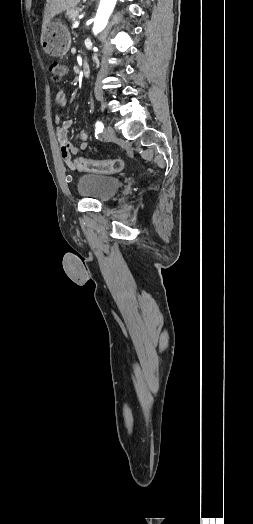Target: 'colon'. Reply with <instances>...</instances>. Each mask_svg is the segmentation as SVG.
<instances>
[{
    "label": "colon",
    "mask_w": 253,
    "mask_h": 524,
    "mask_svg": "<svg viewBox=\"0 0 253 524\" xmlns=\"http://www.w3.org/2000/svg\"><path fill=\"white\" fill-rule=\"evenodd\" d=\"M49 72L53 81H60L67 72L65 65L54 61L49 64ZM76 166L81 171L96 172L102 174L119 173L124 168V161L114 158L107 161H95L91 159L79 158Z\"/></svg>",
    "instance_id": "colon-1"
}]
</instances>
